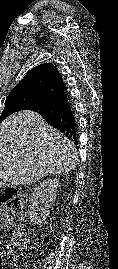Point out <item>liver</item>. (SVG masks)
Listing matches in <instances>:
<instances>
[{
  "label": "liver",
  "instance_id": "6515ba94",
  "mask_svg": "<svg viewBox=\"0 0 118 269\" xmlns=\"http://www.w3.org/2000/svg\"><path fill=\"white\" fill-rule=\"evenodd\" d=\"M78 163L73 142L33 111H20L0 124V179L28 185L47 175L72 171Z\"/></svg>",
  "mask_w": 118,
  "mask_h": 269
}]
</instances>
